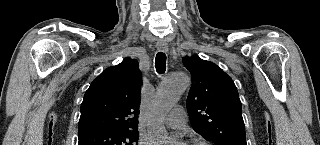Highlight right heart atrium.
<instances>
[{
  "label": "right heart atrium",
  "instance_id": "d8ad5b80",
  "mask_svg": "<svg viewBox=\"0 0 320 145\" xmlns=\"http://www.w3.org/2000/svg\"><path fill=\"white\" fill-rule=\"evenodd\" d=\"M139 144L140 145H150V141H148L146 139H140L139 140Z\"/></svg>",
  "mask_w": 320,
  "mask_h": 145
}]
</instances>
